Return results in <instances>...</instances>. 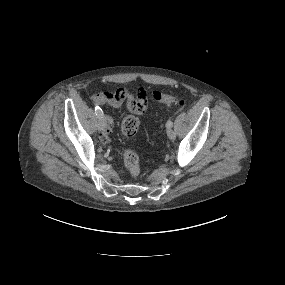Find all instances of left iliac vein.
Returning a JSON list of instances; mask_svg holds the SVG:
<instances>
[{
	"label": "left iliac vein",
	"instance_id": "4c4485c4",
	"mask_svg": "<svg viewBox=\"0 0 285 285\" xmlns=\"http://www.w3.org/2000/svg\"><path fill=\"white\" fill-rule=\"evenodd\" d=\"M167 135L171 140H174L176 138V132L171 128L167 129Z\"/></svg>",
	"mask_w": 285,
	"mask_h": 285
}]
</instances>
